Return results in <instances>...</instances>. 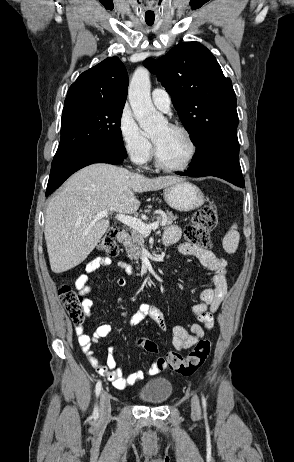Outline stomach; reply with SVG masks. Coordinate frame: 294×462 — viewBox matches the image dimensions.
Returning a JSON list of instances; mask_svg holds the SVG:
<instances>
[{
    "label": "stomach",
    "instance_id": "stomach-1",
    "mask_svg": "<svg viewBox=\"0 0 294 462\" xmlns=\"http://www.w3.org/2000/svg\"><path fill=\"white\" fill-rule=\"evenodd\" d=\"M166 203L178 211H191L205 202L203 192L194 184L182 180L168 186L163 193Z\"/></svg>",
    "mask_w": 294,
    "mask_h": 462
}]
</instances>
